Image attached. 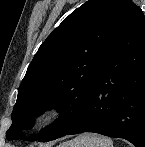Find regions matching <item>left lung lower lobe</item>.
I'll use <instances>...</instances> for the list:
<instances>
[{
	"mask_svg": "<svg viewBox=\"0 0 145 147\" xmlns=\"http://www.w3.org/2000/svg\"><path fill=\"white\" fill-rule=\"evenodd\" d=\"M82 132L124 138L135 147H145V17L133 2L81 118L51 140Z\"/></svg>",
	"mask_w": 145,
	"mask_h": 147,
	"instance_id": "1",
	"label": "left lung lower lobe"
}]
</instances>
